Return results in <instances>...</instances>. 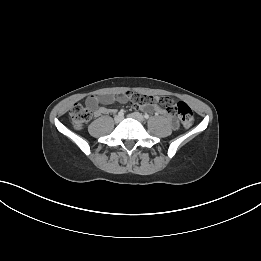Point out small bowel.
Wrapping results in <instances>:
<instances>
[{"instance_id":"obj_1","label":"small bowel","mask_w":261,"mask_h":261,"mask_svg":"<svg viewBox=\"0 0 261 261\" xmlns=\"http://www.w3.org/2000/svg\"><path fill=\"white\" fill-rule=\"evenodd\" d=\"M85 103L96 117L111 112V109L106 108L104 105L113 103H129L135 108H140L143 111L162 114L167 117L173 127L177 126V121L173 115L160 106L159 99L156 96H149L147 94L136 92L135 90H130L129 92H125L123 95L116 96H90L86 99Z\"/></svg>"}]
</instances>
